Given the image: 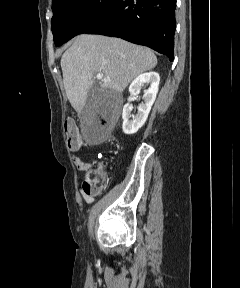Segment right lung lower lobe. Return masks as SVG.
Here are the masks:
<instances>
[{"label": "right lung lower lobe", "mask_w": 240, "mask_h": 288, "mask_svg": "<svg viewBox=\"0 0 240 288\" xmlns=\"http://www.w3.org/2000/svg\"><path fill=\"white\" fill-rule=\"evenodd\" d=\"M176 0H112L80 34H101L148 46L174 58Z\"/></svg>", "instance_id": "1"}]
</instances>
